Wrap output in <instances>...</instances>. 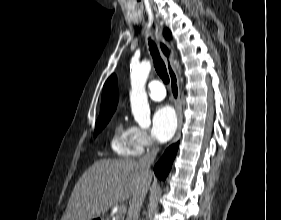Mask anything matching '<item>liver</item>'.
Instances as JSON below:
<instances>
[{
    "mask_svg": "<svg viewBox=\"0 0 281 220\" xmlns=\"http://www.w3.org/2000/svg\"><path fill=\"white\" fill-rule=\"evenodd\" d=\"M145 178L131 159H100L80 177L61 220H92L133 196ZM151 182V175H150Z\"/></svg>",
    "mask_w": 281,
    "mask_h": 220,
    "instance_id": "1",
    "label": "liver"
}]
</instances>
